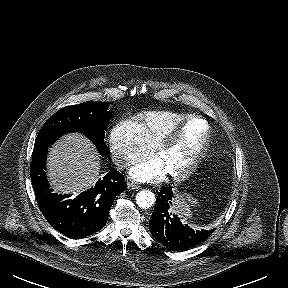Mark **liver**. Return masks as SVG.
I'll return each instance as SVG.
<instances>
[{
    "mask_svg": "<svg viewBox=\"0 0 288 288\" xmlns=\"http://www.w3.org/2000/svg\"><path fill=\"white\" fill-rule=\"evenodd\" d=\"M47 171L49 183L56 193L78 194L98 180L100 157L85 136L68 134L50 148Z\"/></svg>",
    "mask_w": 288,
    "mask_h": 288,
    "instance_id": "liver-1",
    "label": "liver"
}]
</instances>
